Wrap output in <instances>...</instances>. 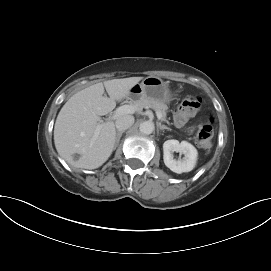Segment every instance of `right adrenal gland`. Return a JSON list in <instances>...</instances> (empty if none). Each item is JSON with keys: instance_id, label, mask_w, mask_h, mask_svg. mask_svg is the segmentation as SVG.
I'll return each mask as SVG.
<instances>
[{"instance_id": "right-adrenal-gland-1", "label": "right adrenal gland", "mask_w": 271, "mask_h": 271, "mask_svg": "<svg viewBox=\"0 0 271 271\" xmlns=\"http://www.w3.org/2000/svg\"><path fill=\"white\" fill-rule=\"evenodd\" d=\"M123 132H124V131L117 132V134H116V141H115V142H116V143H115V148H116L117 145L119 144V141H120V138H121Z\"/></svg>"}]
</instances>
